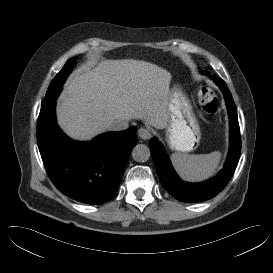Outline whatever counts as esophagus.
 <instances>
[{"label":"esophagus","instance_id":"esophagus-1","mask_svg":"<svg viewBox=\"0 0 273 273\" xmlns=\"http://www.w3.org/2000/svg\"><path fill=\"white\" fill-rule=\"evenodd\" d=\"M138 135H139V137L141 138V139H143V140H148V139H150L151 138V136H152V133H151V131L149 130V129H147V128H140L139 130H138Z\"/></svg>","mask_w":273,"mask_h":273}]
</instances>
